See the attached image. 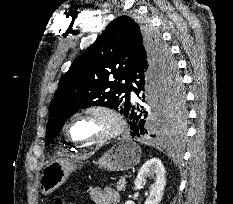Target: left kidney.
<instances>
[{"instance_id":"1","label":"left kidney","mask_w":233,"mask_h":204,"mask_svg":"<svg viewBox=\"0 0 233 204\" xmlns=\"http://www.w3.org/2000/svg\"><path fill=\"white\" fill-rule=\"evenodd\" d=\"M147 178L154 180V182L150 187L149 196L144 204H159L163 197V191L166 185L165 168L159 159L152 158L143 164L135 179L134 189L139 190L143 188ZM125 204L135 203L129 200L126 201Z\"/></svg>"}]
</instances>
